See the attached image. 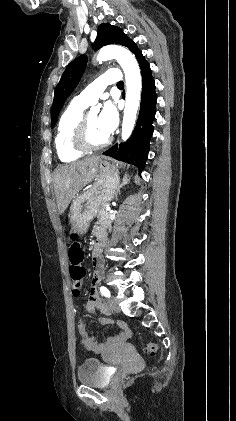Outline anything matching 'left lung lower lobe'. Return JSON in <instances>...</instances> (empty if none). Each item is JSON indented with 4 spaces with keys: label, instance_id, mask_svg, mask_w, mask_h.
I'll use <instances>...</instances> for the list:
<instances>
[{
    "label": "left lung lower lobe",
    "instance_id": "left-lung-lower-lobe-1",
    "mask_svg": "<svg viewBox=\"0 0 236 421\" xmlns=\"http://www.w3.org/2000/svg\"><path fill=\"white\" fill-rule=\"evenodd\" d=\"M142 73V95L137 125L131 138L120 145L116 144L103 154L138 167L139 175L143 171L149 151V142L153 133V120L156 111L155 82L149 63L138 47L133 50Z\"/></svg>",
    "mask_w": 236,
    "mask_h": 421
}]
</instances>
